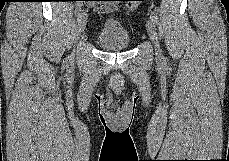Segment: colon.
Segmentation results:
<instances>
[{"label": "colon", "mask_w": 229, "mask_h": 161, "mask_svg": "<svg viewBox=\"0 0 229 161\" xmlns=\"http://www.w3.org/2000/svg\"><path fill=\"white\" fill-rule=\"evenodd\" d=\"M139 2L140 0H126V4H125L126 11L131 12L135 10L138 7Z\"/></svg>", "instance_id": "1"}]
</instances>
